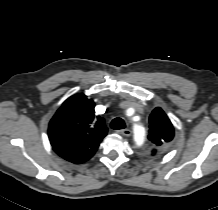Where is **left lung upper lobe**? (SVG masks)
Returning <instances> with one entry per match:
<instances>
[{
  "label": "left lung upper lobe",
  "mask_w": 218,
  "mask_h": 210,
  "mask_svg": "<svg viewBox=\"0 0 218 210\" xmlns=\"http://www.w3.org/2000/svg\"><path fill=\"white\" fill-rule=\"evenodd\" d=\"M149 140L156 147L170 142L174 136L173 125L165 114V112L160 108H155L149 118ZM153 154L156 150L152 151Z\"/></svg>",
  "instance_id": "1"
}]
</instances>
